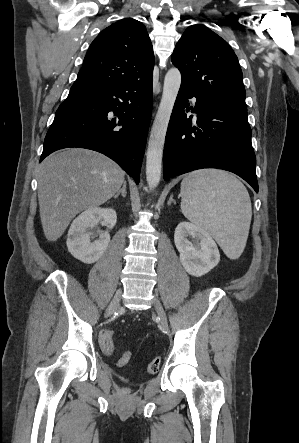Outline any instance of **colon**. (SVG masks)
Instances as JSON below:
<instances>
[{
    "label": "colon",
    "instance_id": "colon-1",
    "mask_svg": "<svg viewBox=\"0 0 299 443\" xmlns=\"http://www.w3.org/2000/svg\"><path fill=\"white\" fill-rule=\"evenodd\" d=\"M100 344L106 354H111L114 350V332L111 330H105L100 335ZM131 361V353L129 351H125L122 353L118 360V365L125 366L129 364ZM160 368V359L159 358H153L148 364H147V371L149 373H156ZM126 392H128V389H126Z\"/></svg>",
    "mask_w": 299,
    "mask_h": 443
}]
</instances>
